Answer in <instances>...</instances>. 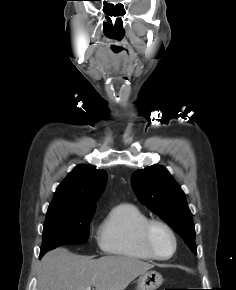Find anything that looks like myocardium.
Masks as SVG:
<instances>
[{
    "label": "myocardium",
    "mask_w": 236,
    "mask_h": 290,
    "mask_svg": "<svg viewBox=\"0 0 236 290\" xmlns=\"http://www.w3.org/2000/svg\"><path fill=\"white\" fill-rule=\"evenodd\" d=\"M156 227H160V228L164 229L170 235V237L173 241V250L167 256L159 255L153 247L152 232H153V229ZM140 238H141V242H142V245H143L145 251L153 259L161 260V261L168 260V259L172 258L175 255V253L177 252L178 240H177L176 233L169 224H167L166 222H164L162 220L149 219L141 228Z\"/></svg>",
    "instance_id": "obj_1"
}]
</instances>
